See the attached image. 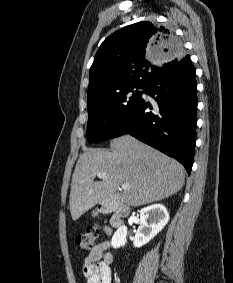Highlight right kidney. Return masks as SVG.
I'll list each match as a JSON object with an SVG mask.
<instances>
[{
  "mask_svg": "<svg viewBox=\"0 0 233 283\" xmlns=\"http://www.w3.org/2000/svg\"><path fill=\"white\" fill-rule=\"evenodd\" d=\"M169 213L162 204H153L140 211L139 228L133 239V245L140 248L153 239L168 223ZM127 227L121 226L114 233L111 244L113 248L124 246L127 242Z\"/></svg>",
  "mask_w": 233,
  "mask_h": 283,
  "instance_id": "ca27d5eb",
  "label": "right kidney"
}]
</instances>
